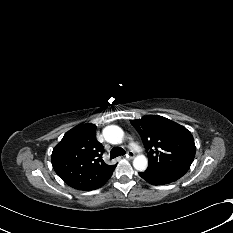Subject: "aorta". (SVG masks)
<instances>
[{"label":"aorta","mask_w":233,"mask_h":233,"mask_svg":"<svg viewBox=\"0 0 233 233\" xmlns=\"http://www.w3.org/2000/svg\"><path fill=\"white\" fill-rule=\"evenodd\" d=\"M103 136L105 140L111 144H120L124 138L123 130L116 126L110 125L104 128ZM133 166L138 171H145L148 166V159L144 155H138L133 160Z\"/></svg>","instance_id":"1"}]
</instances>
